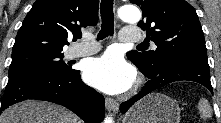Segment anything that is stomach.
Here are the masks:
<instances>
[{
  "label": "stomach",
  "mask_w": 221,
  "mask_h": 123,
  "mask_svg": "<svg viewBox=\"0 0 221 123\" xmlns=\"http://www.w3.org/2000/svg\"><path fill=\"white\" fill-rule=\"evenodd\" d=\"M178 104L162 93H151L135 103L122 123H180Z\"/></svg>",
  "instance_id": "1"
}]
</instances>
